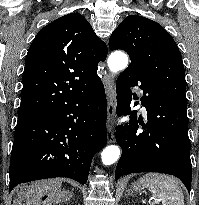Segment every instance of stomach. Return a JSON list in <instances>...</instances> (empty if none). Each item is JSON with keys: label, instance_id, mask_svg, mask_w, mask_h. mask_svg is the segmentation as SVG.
I'll list each match as a JSON object with an SVG mask.
<instances>
[{"label": "stomach", "instance_id": "stomach-1", "mask_svg": "<svg viewBox=\"0 0 199 205\" xmlns=\"http://www.w3.org/2000/svg\"><path fill=\"white\" fill-rule=\"evenodd\" d=\"M140 188H141V186H140L138 183H137V184H134V186H133V189H134L135 191H139Z\"/></svg>", "mask_w": 199, "mask_h": 205}]
</instances>
